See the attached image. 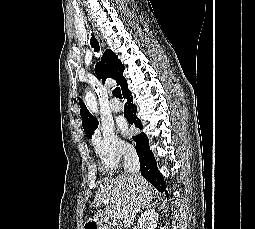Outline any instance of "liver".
<instances>
[{
    "instance_id": "6515ba94",
    "label": "liver",
    "mask_w": 255,
    "mask_h": 229,
    "mask_svg": "<svg viewBox=\"0 0 255 229\" xmlns=\"http://www.w3.org/2000/svg\"><path fill=\"white\" fill-rule=\"evenodd\" d=\"M153 186L140 175L122 174L115 178H105L99 185L91 205L93 208H104L97 211L90 221L98 225L109 223L115 215L116 203L124 212L122 218L125 228L133 224L136 213L146 207L155 198ZM109 200L108 203L104 201Z\"/></svg>"
}]
</instances>
